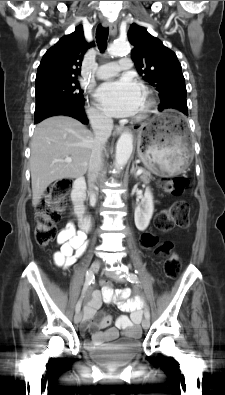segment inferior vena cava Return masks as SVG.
<instances>
[{"label": "inferior vena cava", "mask_w": 225, "mask_h": 395, "mask_svg": "<svg viewBox=\"0 0 225 395\" xmlns=\"http://www.w3.org/2000/svg\"><path fill=\"white\" fill-rule=\"evenodd\" d=\"M91 126L94 131V139L88 163V185L92 194L91 190L102 166V151L113 129V120L100 112H93Z\"/></svg>", "instance_id": "1"}]
</instances>
